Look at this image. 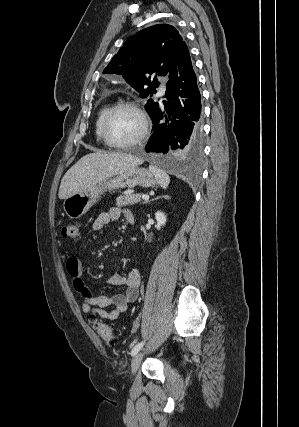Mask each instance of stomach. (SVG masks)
<instances>
[{
	"instance_id": "1",
	"label": "stomach",
	"mask_w": 299,
	"mask_h": 427,
	"mask_svg": "<svg viewBox=\"0 0 299 427\" xmlns=\"http://www.w3.org/2000/svg\"><path fill=\"white\" fill-rule=\"evenodd\" d=\"M156 183L157 180L150 170L136 166L66 198L63 202V210L70 219H78L86 214L108 190L135 186L149 188Z\"/></svg>"
}]
</instances>
